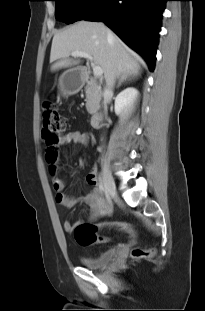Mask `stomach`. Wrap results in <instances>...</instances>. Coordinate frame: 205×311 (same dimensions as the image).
<instances>
[{
	"mask_svg": "<svg viewBox=\"0 0 205 311\" xmlns=\"http://www.w3.org/2000/svg\"><path fill=\"white\" fill-rule=\"evenodd\" d=\"M84 83V73L80 69H69L59 78V91L68 96L80 91Z\"/></svg>",
	"mask_w": 205,
	"mask_h": 311,
	"instance_id": "obj_1",
	"label": "stomach"
}]
</instances>
